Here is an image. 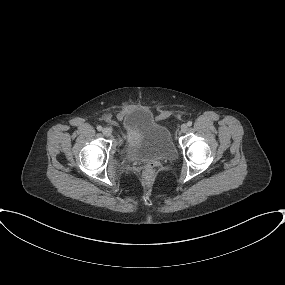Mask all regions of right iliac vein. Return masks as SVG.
<instances>
[{
	"mask_svg": "<svg viewBox=\"0 0 285 285\" xmlns=\"http://www.w3.org/2000/svg\"><path fill=\"white\" fill-rule=\"evenodd\" d=\"M102 133H103V135H105V136H110L111 135V130L109 129V128H104L103 130H102Z\"/></svg>",
	"mask_w": 285,
	"mask_h": 285,
	"instance_id": "1",
	"label": "right iliac vein"
}]
</instances>
